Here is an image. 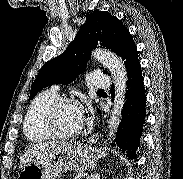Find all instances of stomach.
<instances>
[{
  "label": "stomach",
  "instance_id": "obj_1",
  "mask_svg": "<svg viewBox=\"0 0 183 179\" xmlns=\"http://www.w3.org/2000/svg\"><path fill=\"white\" fill-rule=\"evenodd\" d=\"M104 154L81 143L55 142L22 168L19 179H56L68 170L84 172L95 168Z\"/></svg>",
  "mask_w": 183,
  "mask_h": 179
}]
</instances>
